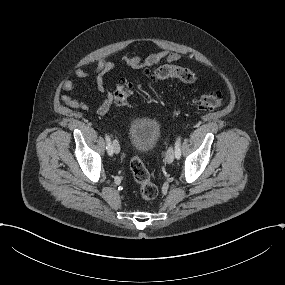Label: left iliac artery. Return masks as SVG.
<instances>
[{
    "label": "left iliac artery",
    "mask_w": 285,
    "mask_h": 285,
    "mask_svg": "<svg viewBox=\"0 0 285 285\" xmlns=\"http://www.w3.org/2000/svg\"><path fill=\"white\" fill-rule=\"evenodd\" d=\"M175 155L178 156L177 158H180L181 156V138L180 136L177 138L176 143H175Z\"/></svg>",
    "instance_id": "obj_1"
}]
</instances>
